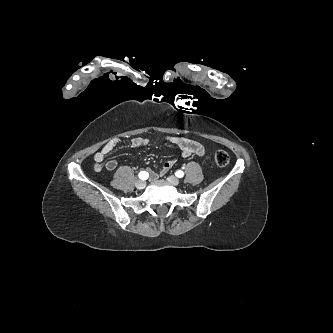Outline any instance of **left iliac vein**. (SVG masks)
<instances>
[{"mask_svg":"<svg viewBox=\"0 0 333 333\" xmlns=\"http://www.w3.org/2000/svg\"><path fill=\"white\" fill-rule=\"evenodd\" d=\"M167 180L172 184V185H178L179 184V179L175 176H169Z\"/></svg>","mask_w":333,"mask_h":333,"instance_id":"obj_1","label":"left iliac vein"}]
</instances>
